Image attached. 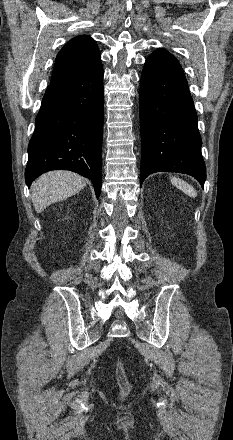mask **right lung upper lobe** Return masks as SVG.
Instances as JSON below:
<instances>
[{
	"label": "right lung upper lobe",
	"instance_id": "cb5924a9",
	"mask_svg": "<svg viewBox=\"0 0 233 440\" xmlns=\"http://www.w3.org/2000/svg\"><path fill=\"white\" fill-rule=\"evenodd\" d=\"M100 66L101 56L96 42L90 36L79 35L70 40L58 53L51 83L85 76Z\"/></svg>",
	"mask_w": 233,
	"mask_h": 440
}]
</instances>
